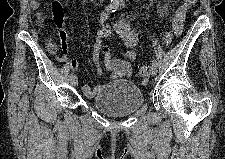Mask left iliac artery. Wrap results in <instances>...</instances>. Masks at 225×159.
Here are the masks:
<instances>
[{
    "label": "left iliac artery",
    "instance_id": "44dca946",
    "mask_svg": "<svg viewBox=\"0 0 225 159\" xmlns=\"http://www.w3.org/2000/svg\"><path fill=\"white\" fill-rule=\"evenodd\" d=\"M115 11H117V8L114 9V12H115ZM152 65H154V66H157V65H158L156 59H153V60H152Z\"/></svg>",
    "mask_w": 225,
    "mask_h": 159
}]
</instances>
